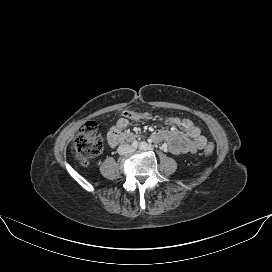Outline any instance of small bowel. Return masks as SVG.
Instances as JSON below:
<instances>
[{"label": "small bowel", "instance_id": "small-bowel-1", "mask_svg": "<svg viewBox=\"0 0 272 272\" xmlns=\"http://www.w3.org/2000/svg\"><path fill=\"white\" fill-rule=\"evenodd\" d=\"M167 122L181 128L183 133L173 129L160 130L152 134V139L155 142H164L168 150L173 154H192L206 146V137L201 134L200 129L190 119L171 117L167 119ZM127 125L128 120L123 117L109 128L108 140L112 146L117 144L114 143V137L121 133Z\"/></svg>", "mask_w": 272, "mask_h": 272}]
</instances>
